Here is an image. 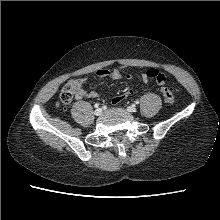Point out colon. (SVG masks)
<instances>
[{"instance_id":"colon-1","label":"colon","mask_w":220,"mask_h":220,"mask_svg":"<svg viewBox=\"0 0 220 220\" xmlns=\"http://www.w3.org/2000/svg\"><path fill=\"white\" fill-rule=\"evenodd\" d=\"M145 76L150 79H155L157 83L161 86L160 91L162 96L167 104H173L175 102V96L172 92V89L168 86L166 76L160 72L158 69L149 68L145 71ZM126 78H131L130 74L126 75ZM74 96V88L71 84H67L62 89L59 95V102L63 107L68 106Z\"/></svg>"}]
</instances>
